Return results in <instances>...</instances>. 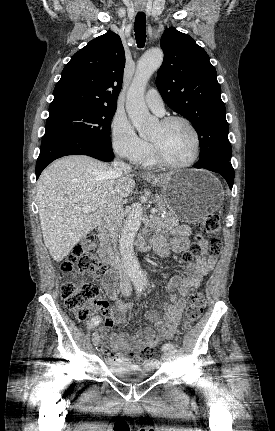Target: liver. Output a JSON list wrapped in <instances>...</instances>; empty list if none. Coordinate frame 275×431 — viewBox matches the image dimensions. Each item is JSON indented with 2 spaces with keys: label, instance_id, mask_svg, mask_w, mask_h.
Segmentation results:
<instances>
[{
  "label": "liver",
  "instance_id": "1",
  "mask_svg": "<svg viewBox=\"0 0 275 431\" xmlns=\"http://www.w3.org/2000/svg\"><path fill=\"white\" fill-rule=\"evenodd\" d=\"M135 187L128 172L118 176L106 163L85 155L61 158L48 166L36 184L39 219L46 247L56 262L102 221L110 201L127 197ZM93 206L92 213L77 207Z\"/></svg>",
  "mask_w": 275,
  "mask_h": 431
}]
</instances>
